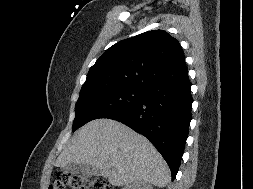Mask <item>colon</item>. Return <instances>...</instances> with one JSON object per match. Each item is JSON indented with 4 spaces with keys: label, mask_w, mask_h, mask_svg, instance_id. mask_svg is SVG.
I'll return each mask as SVG.
<instances>
[{
    "label": "colon",
    "mask_w": 253,
    "mask_h": 189,
    "mask_svg": "<svg viewBox=\"0 0 253 189\" xmlns=\"http://www.w3.org/2000/svg\"><path fill=\"white\" fill-rule=\"evenodd\" d=\"M49 189H113L105 180L79 174L61 173Z\"/></svg>",
    "instance_id": "obj_1"
}]
</instances>
